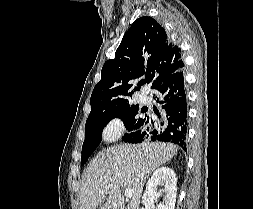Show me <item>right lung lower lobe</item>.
Instances as JSON below:
<instances>
[{
    "label": "right lung lower lobe",
    "instance_id": "98d812e1",
    "mask_svg": "<svg viewBox=\"0 0 253 209\" xmlns=\"http://www.w3.org/2000/svg\"><path fill=\"white\" fill-rule=\"evenodd\" d=\"M156 90L158 95L154 99L165 109L162 117L159 113V119L146 116L142 126L122 140L128 143L172 142L186 151L187 102L183 71L168 77Z\"/></svg>",
    "mask_w": 253,
    "mask_h": 209
}]
</instances>
